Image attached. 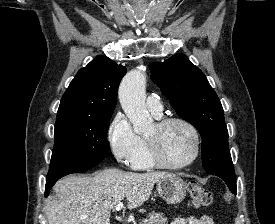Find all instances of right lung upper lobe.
Listing matches in <instances>:
<instances>
[{"label":"right lung upper lobe","mask_w":275,"mask_h":224,"mask_svg":"<svg viewBox=\"0 0 275 224\" xmlns=\"http://www.w3.org/2000/svg\"><path fill=\"white\" fill-rule=\"evenodd\" d=\"M126 68L97 56L80 69L65 91L56 120L112 116L118 86Z\"/></svg>","instance_id":"right-lung-upper-lobe-1"}]
</instances>
